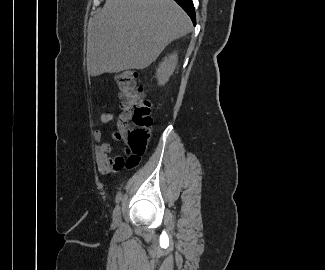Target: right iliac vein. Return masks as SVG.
I'll return each mask as SVG.
<instances>
[{
  "label": "right iliac vein",
  "instance_id": "63e3f726",
  "mask_svg": "<svg viewBox=\"0 0 325 270\" xmlns=\"http://www.w3.org/2000/svg\"><path fill=\"white\" fill-rule=\"evenodd\" d=\"M121 222V207L117 205L113 212V223L118 225Z\"/></svg>",
  "mask_w": 325,
  "mask_h": 270
}]
</instances>
